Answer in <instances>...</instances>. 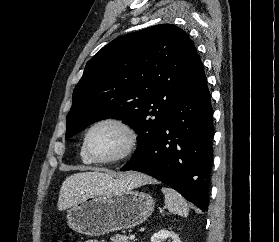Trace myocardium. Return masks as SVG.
I'll list each match as a JSON object with an SVG mask.
<instances>
[{
  "label": "myocardium",
  "instance_id": "myocardium-1",
  "mask_svg": "<svg viewBox=\"0 0 279 242\" xmlns=\"http://www.w3.org/2000/svg\"><path fill=\"white\" fill-rule=\"evenodd\" d=\"M111 124L122 129L126 135V145L116 156L106 159L94 157L89 149V138L91 133L99 126ZM138 145V133L136 129L126 120L117 117H104L92 123L87 129L83 139V150L92 163L96 164H115L129 158L136 150Z\"/></svg>",
  "mask_w": 279,
  "mask_h": 242
}]
</instances>
